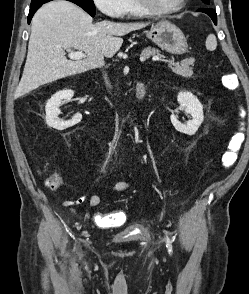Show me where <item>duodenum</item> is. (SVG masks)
<instances>
[{
  "label": "duodenum",
  "mask_w": 249,
  "mask_h": 294,
  "mask_svg": "<svg viewBox=\"0 0 249 294\" xmlns=\"http://www.w3.org/2000/svg\"><path fill=\"white\" fill-rule=\"evenodd\" d=\"M146 97V86L142 80H139L136 84L135 89V100L136 103H142Z\"/></svg>",
  "instance_id": "duodenum-1"
}]
</instances>
